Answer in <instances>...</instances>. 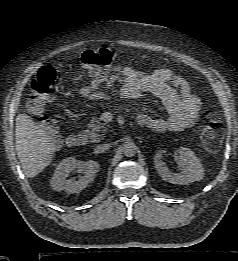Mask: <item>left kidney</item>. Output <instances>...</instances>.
<instances>
[{
  "label": "left kidney",
  "mask_w": 238,
  "mask_h": 261,
  "mask_svg": "<svg viewBox=\"0 0 238 261\" xmlns=\"http://www.w3.org/2000/svg\"><path fill=\"white\" fill-rule=\"evenodd\" d=\"M177 153L181 173H172L169 171L166 164L162 161V151H158L154 155V165L162 179L169 183L179 185L202 180L204 177V168L194 152L189 148L180 147L178 148Z\"/></svg>",
  "instance_id": "left-kidney-1"
}]
</instances>
